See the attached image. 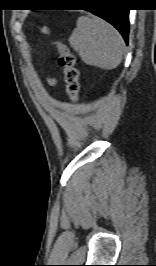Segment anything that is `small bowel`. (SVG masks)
Segmentation results:
<instances>
[{
  "label": "small bowel",
  "mask_w": 156,
  "mask_h": 266,
  "mask_svg": "<svg viewBox=\"0 0 156 266\" xmlns=\"http://www.w3.org/2000/svg\"><path fill=\"white\" fill-rule=\"evenodd\" d=\"M47 83H48L50 86H55L56 83H57V81H56V79H54V78H48V79H47Z\"/></svg>",
  "instance_id": "small-bowel-1"
}]
</instances>
